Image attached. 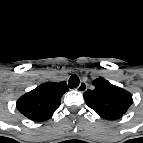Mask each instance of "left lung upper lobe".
I'll list each match as a JSON object with an SVG mask.
<instances>
[{
	"instance_id": "5c2ea615",
	"label": "left lung upper lobe",
	"mask_w": 143,
	"mask_h": 143,
	"mask_svg": "<svg viewBox=\"0 0 143 143\" xmlns=\"http://www.w3.org/2000/svg\"><path fill=\"white\" fill-rule=\"evenodd\" d=\"M95 88L84 93L88 107L107 120L121 118L132 105V95L126 90L112 85L104 78L93 81Z\"/></svg>"
}]
</instances>
